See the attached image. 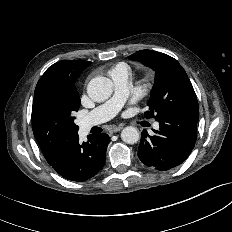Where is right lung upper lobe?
I'll return each mask as SVG.
<instances>
[{
	"instance_id": "cb5924a9",
	"label": "right lung upper lobe",
	"mask_w": 232,
	"mask_h": 232,
	"mask_svg": "<svg viewBox=\"0 0 232 232\" xmlns=\"http://www.w3.org/2000/svg\"><path fill=\"white\" fill-rule=\"evenodd\" d=\"M91 62L84 60H63L55 63L50 66L45 73L42 75L41 79L44 78H52V79H63L70 77L72 74L76 72L83 71L87 66H89ZM72 138V137H71ZM69 138V139H71ZM64 140L58 145L52 148H41L42 153L47 160V162L52 165L56 162L57 157L63 147V145L69 140Z\"/></svg>"
}]
</instances>
